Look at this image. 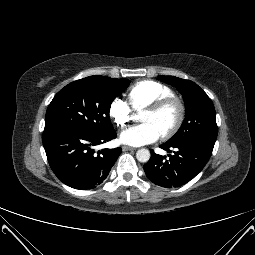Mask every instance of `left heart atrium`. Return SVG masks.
Returning <instances> with one entry per match:
<instances>
[{"label": "left heart atrium", "instance_id": "obj_1", "mask_svg": "<svg viewBox=\"0 0 255 255\" xmlns=\"http://www.w3.org/2000/svg\"><path fill=\"white\" fill-rule=\"evenodd\" d=\"M160 136L161 133L152 124L142 123L123 131L120 139L131 146H142L157 141Z\"/></svg>", "mask_w": 255, "mask_h": 255}]
</instances>
